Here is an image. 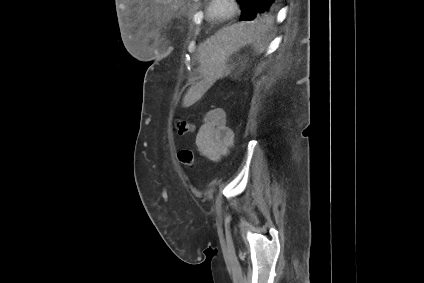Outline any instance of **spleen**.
I'll return each instance as SVG.
<instances>
[{"label": "spleen", "instance_id": "spleen-1", "mask_svg": "<svg viewBox=\"0 0 424 283\" xmlns=\"http://www.w3.org/2000/svg\"><path fill=\"white\" fill-rule=\"evenodd\" d=\"M249 34H250L251 36L248 38V41H250V40H252V39H256V38L259 36V34H260V31H259V27H258V25H252V26H251V28H250ZM242 64H243V63H242ZM217 69H218V68H216V70H215L214 72H216V71H217Z\"/></svg>", "mask_w": 424, "mask_h": 283}]
</instances>
